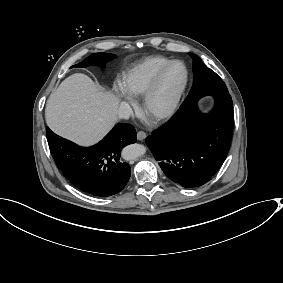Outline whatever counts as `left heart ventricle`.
I'll return each instance as SVG.
<instances>
[{"instance_id":"1","label":"left heart ventricle","mask_w":283,"mask_h":283,"mask_svg":"<svg viewBox=\"0 0 283 283\" xmlns=\"http://www.w3.org/2000/svg\"><path fill=\"white\" fill-rule=\"evenodd\" d=\"M184 78L185 70L181 64L171 66L160 80L152 109L161 110L167 107L183 84Z\"/></svg>"}]
</instances>
